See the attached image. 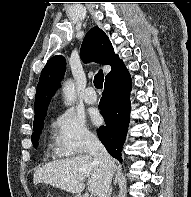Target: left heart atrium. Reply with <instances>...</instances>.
<instances>
[{"instance_id":"39dd6f15","label":"left heart atrium","mask_w":191,"mask_h":197,"mask_svg":"<svg viewBox=\"0 0 191 197\" xmlns=\"http://www.w3.org/2000/svg\"><path fill=\"white\" fill-rule=\"evenodd\" d=\"M91 120L94 124H100L101 123V116H100L98 111H92Z\"/></svg>"}]
</instances>
